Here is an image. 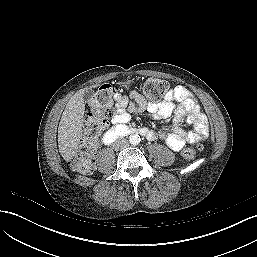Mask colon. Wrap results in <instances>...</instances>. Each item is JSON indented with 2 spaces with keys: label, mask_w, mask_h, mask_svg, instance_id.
Instances as JSON below:
<instances>
[{
  "label": "colon",
  "mask_w": 257,
  "mask_h": 257,
  "mask_svg": "<svg viewBox=\"0 0 257 257\" xmlns=\"http://www.w3.org/2000/svg\"><path fill=\"white\" fill-rule=\"evenodd\" d=\"M168 83L160 79H148L142 86V92L150 102L159 101L166 93ZM115 90L110 85L101 86L89 101L91 115L86 120L82 143L72 160L74 170L88 173L93 167V157L96 153L98 138L107 124V120L114 113ZM201 146L187 147L182 151L185 161H192Z\"/></svg>",
  "instance_id": "5ec220e1"
}]
</instances>
